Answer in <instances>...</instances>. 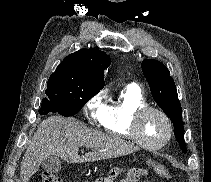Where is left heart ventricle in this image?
Returning <instances> with one entry per match:
<instances>
[{"mask_svg": "<svg viewBox=\"0 0 211 182\" xmlns=\"http://www.w3.org/2000/svg\"><path fill=\"white\" fill-rule=\"evenodd\" d=\"M141 138L149 144L161 143L167 135V126L163 118L155 113H147L140 122Z\"/></svg>", "mask_w": 211, "mask_h": 182, "instance_id": "1", "label": "left heart ventricle"}]
</instances>
